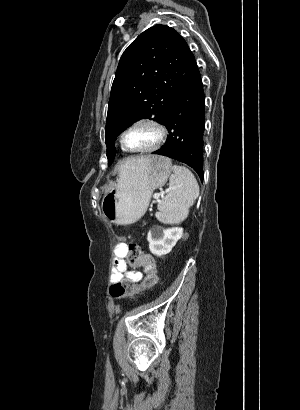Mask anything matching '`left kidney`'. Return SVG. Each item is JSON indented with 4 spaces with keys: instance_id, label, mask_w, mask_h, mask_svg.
<instances>
[{
    "instance_id": "1",
    "label": "left kidney",
    "mask_w": 300,
    "mask_h": 410,
    "mask_svg": "<svg viewBox=\"0 0 300 410\" xmlns=\"http://www.w3.org/2000/svg\"><path fill=\"white\" fill-rule=\"evenodd\" d=\"M183 235V228H152L147 235L149 249L152 254L162 256L168 254Z\"/></svg>"
}]
</instances>
